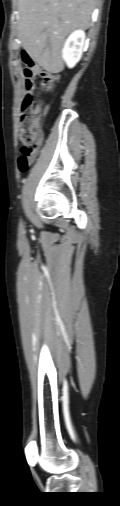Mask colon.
Wrapping results in <instances>:
<instances>
[{"mask_svg":"<svg viewBox=\"0 0 120 506\" xmlns=\"http://www.w3.org/2000/svg\"><path fill=\"white\" fill-rule=\"evenodd\" d=\"M20 57L25 63L24 75L26 90L33 84L34 78L38 77L41 80V91L44 93L51 92L58 83V75L38 67L33 62L34 59L29 55L27 50H22L20 52ZM46 111V109H43L40 101L35 99L30 93L24 96L20 118V140L22 148L18 159V167L22 173H26L29 170L41 146L43 139L41 124L42 117Z\"/></svg>","mask_w":120,"mask_h":506,"instance_id":"colon-1","label":"colon"}]
</instances>
